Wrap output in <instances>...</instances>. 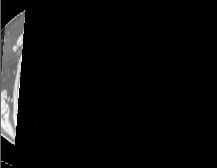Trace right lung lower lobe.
<instances>
[{
  "label": "right lung lower lobe",
  "instance_id": "obj_1",
  "mask_svg": "<svg viewBox=\"0 0 217 168\" xmlns=\"http://www.w3.org/2000/svg\"><path fill=\"white\" fill-rule=\"evenodd\" d=\"M94 110L91 101L69 97L32 118L41 131L53 140L75 142L87 133Z\"/></svg>",
  "mask_w": 217,
  "mask_h": 168
}]
</instances>
